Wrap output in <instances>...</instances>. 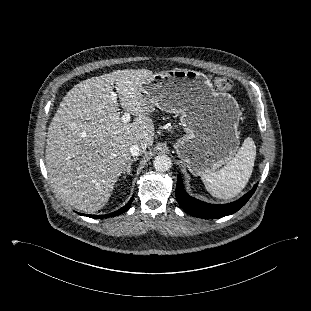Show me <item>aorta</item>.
Listing matches in <instances>:
<instances>
[{"mask_svg":"<svg viewBox=\"0 0 311 311\" xmlns=\"http://www.w3.org/2000/svg\"><path fill=\"white\" fill-rule=\"evenodd\" d=\"M153 166L157 171L166 172L172 166V161L169 156L162 154L154 158Z\"/></svg>","mask_w":311,"mask_h":311,"instance_id":"aorta-1","label":"aorta"}]
</instances>
